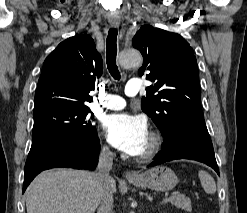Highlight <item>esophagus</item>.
Masks as SVG:
<instances>
[{
	"instance_id": "1",
	"label": "esophagus",
	"mask_w": 247,
	"mask_h": 213,
	"mask_svg": "<svg viewBox=\"0 0 247 213\" xmlns=\"http://www.w3.org/2000/svg\"><path fill=\"white\" fill-rule=\"evenodd\" d=\"M110 24H111V26H112L113 28L119 27V23H118V22H111ZM125 176H126L127 179H131V178H136L138 175H137V173H135V172L127 171V172L125 173Z\"/></svg>"
}]
</instances>
